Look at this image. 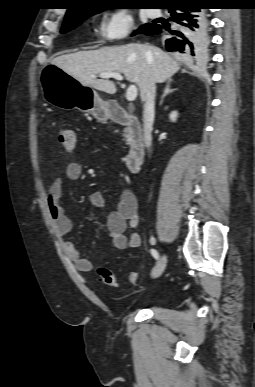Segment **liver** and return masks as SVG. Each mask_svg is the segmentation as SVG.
<instances>
[{
    "instance_id": "6515ba94",
    "label": "liver",
    "mask_w": 255,
    "mask_h": 387,
    "mask_svg": "<svg viewBox=\"0 0 255 387\" xmlns=\"http://www.w3.org/2000/svg\"><path fill=\"white\" fill-rule=\"evenodd\" d=\"M52 64L81 84L108 94H115L116 86L113 81L97 79L96 76L101 73L124 74L129 82L139 87L141 94L151 79L162 83L180 69L179 64L166 52L142 44L78 51L60 55L52 60Z\"/></svg>"
}]
</instances>
